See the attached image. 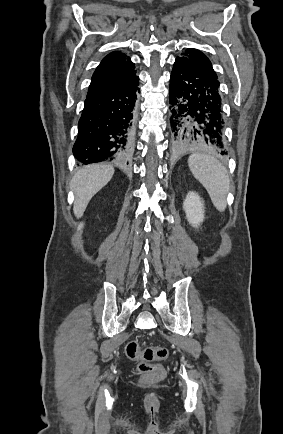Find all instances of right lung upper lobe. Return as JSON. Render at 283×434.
<instances>
[{
    "mask_svg": "<svg viewBox=\"0 0 283 434\" xmlns=\"http://www.w3.org/2000/svg\"><path fill=\"white\" fill-rule=\"evenodd\" d=\"M135 65L120 51L106 55L92 75L87 96L112 90L129 83L135 77Z\"/></svg>",
    "mask_w": 283,
    "mask_h": 434,
    "instance_id": "1",
    "label": "right lung upper lobe"
}]
</instances>
